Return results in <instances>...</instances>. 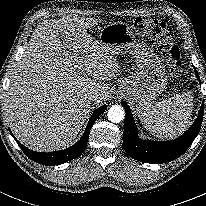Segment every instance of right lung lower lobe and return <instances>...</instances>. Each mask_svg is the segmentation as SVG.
<instances>
[{
	"instance_id": "1",
	"label": "right lung lower lobe",
	"mask_w": 206,
	"mask_h": 206,
	"mask_svg": "<svg viewBox=\"0 0 206 206\" xmlns=\"http://www.w3.org/2000/svg\"><path fill=\"white\" fill-rule=\"evenodd\" d=\"M106 105H103L102 107L96 109L86 127V130L83 134V136L80 138V140L74 144L73 146L60 150V151H55V152H48V153H42V152H35L32 151L25 146H23L20 142L17 141V139L13 136L12 132L10 131L11 135L14 137L16 142L18 143L19 147L23 150V152L33 161L43 164V165H59L63 164L65 162H68L70 160H73L77 157H79L82 152L84 151L88 138H89V133L92 128V125L94 122L97 120V118L102 114V112L106 109Z\"/></svg>"
}]
</instances>
